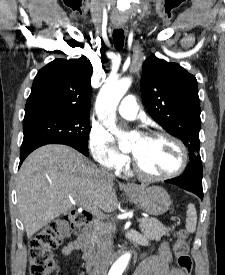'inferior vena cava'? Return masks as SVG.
Segmentation results:
<instances>
[{"mask_svg":"<svg viewBox=\"0 0 225 275\" xmlns=\"http://www.w3.org/2000/svg\"><path fill=\"white\" fill-rule=\"evenodd\" d=\"M109 178H113V175L106 172L105 173ZM104 238H100L98 241V251H97V259L94 265L92 275H107L109 262L111 260L113 245L111 241L107 238V231H104L102 235Z\"/></svg>","mask_w":225,"mask_h":275,"instance_id":"inferior-vena-cava-1","label":"inferior vena cava"}]
</instances>
